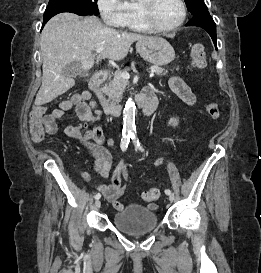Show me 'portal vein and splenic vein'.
I'll return each instance as SVG.
<instances>
[{"label": "portal vein and splenic vein", "instance_id": "18ae733b", "mask_svg": "<svg viewBox=\"0 0 261 273\" xmlns=\"http://www.w3.org/2000/svg\"><path fill=\"white\" fill-rule=\"evenodd\" d=\"M104 50V48H98L96 49V53H101ZM120 76L125 79L128 80L130 78V75L128 72H121ZM154 76V73L151 71L149 74V77L152 78Z\"/></svg>", "mask_w": 261, "mask_h": 273}]
</instances>
